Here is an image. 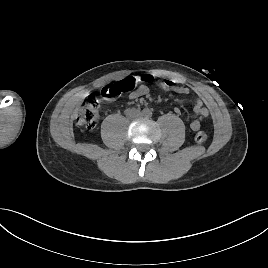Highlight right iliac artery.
Returning <instances> with one entry per match:
<instances>
[{
	"label": "right iliac artery",
	"mask_w": 268,
	"mask_h": 268,
	"mask_svg": "<svg viewBox=\"0 0 268 268\" xmlns=\"http://www.w3.org/2000/svg\"><path fill=\"white\" fill-rule=\"evenodd\" d=\"M142 112H143V113H145V112H146V110L144 109Z\"/></svg>",
	"instance_id": "82829eb1"
}]
</instances>
